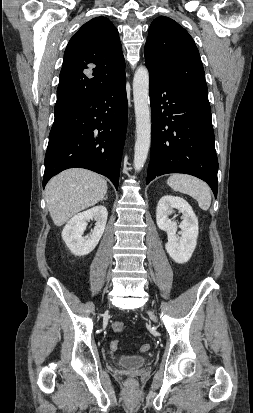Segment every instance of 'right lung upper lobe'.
Here are the masks:
<instances>
[{"instance_id": "right-lung-upper-lobe-1", "label": "right lung upper lobe", "mask_w": 253, "mask_h": 413, "mask_svg": "<svg viewBox=\"0 0 253 413\" xmlns=\"http://www.w3.org/2000/svg\"><path fill=\"white\" fill-rule=\"evenodd\" d=\"M124 75L118 30L105 17L88 21L66 47L55 112L97 95Z\"/></svg>"}]
</instances>
